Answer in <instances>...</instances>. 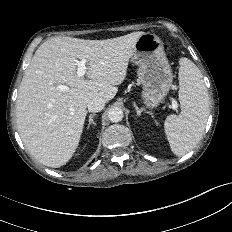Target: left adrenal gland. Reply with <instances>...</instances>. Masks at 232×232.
<instances>
[{"label": "left adrenal gland", "mask_w": 232, "mask_h": 232, "mask_svg": "<svg viewBox=\"0 0 232 232\" xmlns=\"http://www.w3.org/2000/svg\"><path fill=\"white\" fill-rule=\"evenodd\" d=\"M133 106H134V108H135V110H136L137 115L141 116V113L143 112V110H144V112H145V109H140V108H138V106L136 105L135 102L133 103Z\"/></svg>", "instance_id": "1"}]
</instances>
